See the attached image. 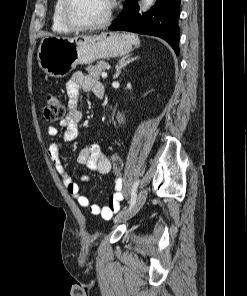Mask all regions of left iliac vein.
<instances>
[{"label":"left iliac vein","mask_w":247,"mask_h":296,"mask_svg":"<svg viewBox=\"0 0 247 296\" xmlns=\"http://www.w3.org/2000/svg\"><path fill=\"white\" fill-rule=\"evenodd\" d=\"M147 197V191L141 190L138 194L135 204L127 211H123L114 217V223H120L126 221L136 215L145 203Z\"/></svg>","instance_id":"1"}]
</instances>
